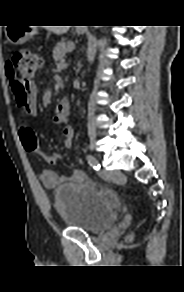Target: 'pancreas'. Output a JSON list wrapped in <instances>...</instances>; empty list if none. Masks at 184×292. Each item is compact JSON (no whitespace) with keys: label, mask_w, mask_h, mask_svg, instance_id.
<instances>
[{"label":"pancreas","mask_w":184,"mask_h":292,"mask_svg":"<svg viewBox=\"0 0 184 292\" xmlns=\"http://www.w3.org/2000/svg\"><path fill=\"white\" fill-rule=\"evenodd\" d=\"M74 48V44L72 42H59L55 46L53 50V58L56 62L61 61L65 54L71 51Z\"/></svg>","instance_id":"pancreas-1"}]
</instances>
